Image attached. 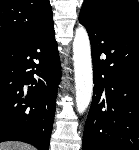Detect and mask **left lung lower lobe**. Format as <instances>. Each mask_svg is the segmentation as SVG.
<instances>
[{"label": "left lung lower lobe", "mask_w": 139, "mask_h": 150, "mask_svg": "<svg viewBox=\"0 0 139 150\" xmlns=\"http://www.w3.org/2000/svg\"><path fill=\"white\" fill-rule=\"evenodd\" d=\"M93 61L94 91L83 150H139V12L101 21L80 12Z\"/></svg>", "instance_id": "obj_1"}]
</instances>
